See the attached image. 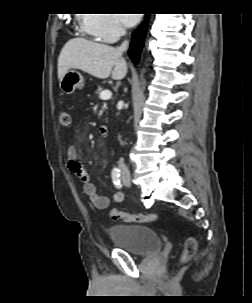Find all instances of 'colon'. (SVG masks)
<instances>
[{
  "mask_svg": "<svg viewBox=\"0 0 252 303\" xmlns=\"http://www.w3.org/2000/svg\"><path fill=\"white\" fill-rule=\"evenodd\" d=\"M59 122L62 126H69L71 124V117L68 111L62 110L59 113ZM110 218L112 220H122L128 223H148L156 220L157 216L153 213H132L117 209L110 211ZM196 244L194 240L186 241L184 249L181 253L179 261L181 263L188 262L196 252Z\"/></svg>",
  "mask_w": 252,
  "mask_h": 303,
  "instance_id": "colon-1",
  "label": "colon"
}]
</instances>
